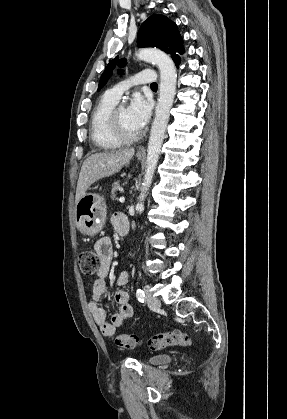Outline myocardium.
Returning <instances> with one entry per match:
<instances>
[{
  "instance_id": "obj_1",
  "label": "myocardium",
  "mask_w": 287,
  "mask_h": 419,
  "mask_svg": "<svg viewBox=\"0 0 287 419\" xmlns=\"http://www.w3.org/2000/svg\"><path fill=\"white\" fill-rule=\"evenodd\" d=\"M120 109V106H115L108 117V125L110 132L112 135L120 142V143H132L137 141L140 138V134H134L129 135L125 133L120 125L119 119H118V110Z\"/></svg>"
}]
</instances>
